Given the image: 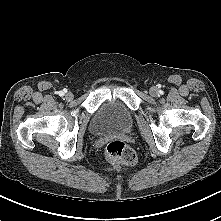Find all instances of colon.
Masks as SVG:
<instances>
[{"label": "colon", "instance_id": "colon-1", "mask_svg": "<svg viewBox=\"0 0 221 221\" xmlns=\"http://www.w3.org/2000/svg\"><path fill=\"white\" fill-rule=\"evenodd\" d=\"M106 156L110 161L124 166H132L137 160L133 149L119 140L112 141L107 145Z\"/></svg>", "mask_w": 221, "mask_h": 221}]
</instances>
